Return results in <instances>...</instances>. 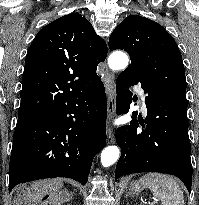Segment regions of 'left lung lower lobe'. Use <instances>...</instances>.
Instances as JSON below:
<instances>
[{
  "mask_svg": "<svg viewBox=\"0 0 199 205\" xmlns=\"http://www.w3.org/2000/svg\"><path fill=\"white\" fill-rule=\"evenodd\" d=\"M141 83L146 97L145 124L132 113L130 125L116 131V142L122 153L117 163L115 180L123 175L139 172H161L181 179L191 192V145L188 136L187 104L160 95L144 85L136 70L128 67L116 80V113H127L130 108L131 85ZM135 114V116H134Z\"/></svg>",
  "mask_w": 199,
  "mask_h": 205,
  "instance_id": "0a47b994",
  "label": "left lung lower lobe"
}]
</instances>
